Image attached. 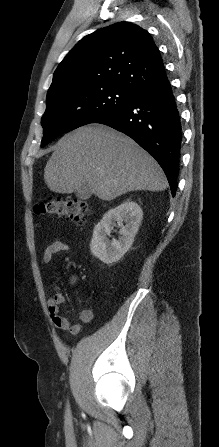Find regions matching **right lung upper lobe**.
Here are the masks:
<instances>
[{
    "label": "right lung upper lobe",
    "instance_id": "right-lung-upper-lobe-1",
    "mask_svg": "<svg viewBox=\"0 0 219 447\" xmlns=\"http://www.w3.org/2000/svg\"><path fill=\"white\" fill-rule=\"evenodd\" d=\"M167 80L160 52L150 34L120 22L85 36L62 60L48 94L118 86L133 95Z\"/></svg>",
    "mask_w": 219,
    "mask_h": 447
}]
</instances>
